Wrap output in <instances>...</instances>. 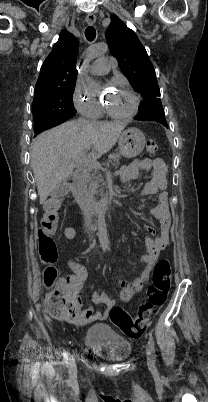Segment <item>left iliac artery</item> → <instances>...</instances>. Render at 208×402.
I'll return each mask as SVG.
<instances>
[{"mask_svg":"<svg viewBox=\"0 0 208 402\" xmlns=\"http://www.w3.org/2000/svg\"><path fill=\"white\" fill-rule=\"evenodd\" d=\"M149 344H150L152 353L155 354L154 339H153V336H152V333H151V332H149ZM154 356H155V355H154Z\"/></svg>","mask_w":208,"mask_h":402,"instance_id":"left-iliac-artery-1","label":"left iliac artery"}]
</instances>
